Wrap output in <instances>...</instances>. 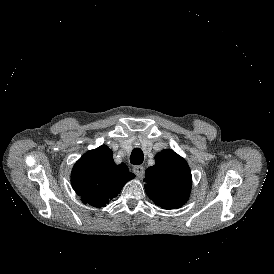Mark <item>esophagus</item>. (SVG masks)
Segmentation results:
<instances>
[{"instance_id": "34e87169", "label": "esophagus", "mask_w": 274, "mask_h": 274, "mask_svg": "<svg viewBox=\"0 0 274 274\" xmlns=\"http://www.w3.org/2000/svg\"><path fill=\"white\" fill-rule=\"evenodd\" d=\"M133 172L138 176V177H142V175L144 174V167L142 165H135L133 167Z\"/></svg>"}]
</instances>
